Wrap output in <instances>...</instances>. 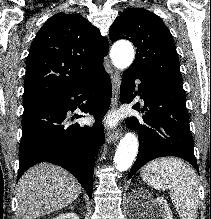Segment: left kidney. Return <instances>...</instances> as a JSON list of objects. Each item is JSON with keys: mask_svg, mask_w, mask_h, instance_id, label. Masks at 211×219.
Masks as SVG:
<instances>
[{"mask_svg": "<svg viewBox=\"0 0 211 219\" xmlns=\"http://www.w3.org/2000/svg\"><path fill=\"white\" fill-rule=\"evenodd\" d=\"M142 193L146 196V198L151 200V203L154 206L149 211H146L143 217L148 219H156L158 217H162V219H173L172 212L164 198L157 197L156 199H152L151 195L147 191H143ZM146 203L148 202H144L142 205Z\"/></svg>", "mask_w": 211, "mask_h": 219, "instance_id": "left-kidney-1", "label": "left kidney"}]
</instances>
